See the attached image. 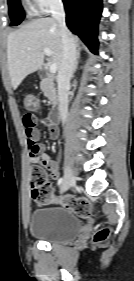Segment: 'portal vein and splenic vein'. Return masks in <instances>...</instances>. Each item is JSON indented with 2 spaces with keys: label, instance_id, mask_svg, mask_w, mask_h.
I'll return each instance as SVG.
<instances>
[{
  "label": "portal vein and splenic vein",
  "instance_id": "portal-vein-and-splenic-vein-1",
  "mask_svg": "<svg viewBox=\"0 0 134 281\" xmlns=\"http://www.w3.org/2000/svg\"><path fill=\"white\" fill-rule=\"evenodd\" d=\"M43 52L45 53L46 56H51V54H52V51L49 48H44ZM57 69H58L57 64H55V63L50 64V67H49L50 73H56Z\"/></svg>",
  "mask_w": 134,
  "mask_h": 281
}]
</instances>
